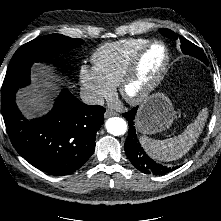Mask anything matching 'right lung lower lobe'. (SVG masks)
I'll use <instances>...</instances> for the list:
<instances>
[{"instance_id": "obj_1", "label": "right lung lower lobe", "mask_w": 221, "mask_h": 221, "mask_svg": "<svg viewBox=\"0 0 221 221\" xmlns=\"http://www.w3.org/2000/svg\"><path fill=\"white\" fill-rule=\"evenodd\" d=\"M18 88L2 91V115L17 152L39 170L69 175L93 154L96 133L104 121L102 106L80 102L63 90L44 117L27 120L15 103Z\"/></svg>"}]
</instances>
